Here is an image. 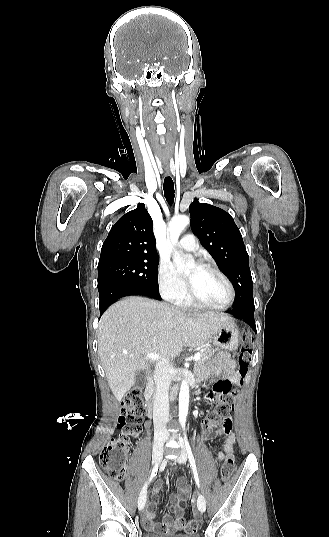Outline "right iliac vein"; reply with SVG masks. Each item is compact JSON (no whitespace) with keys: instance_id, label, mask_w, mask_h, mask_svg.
<instances>
[{"instance_id":"obj_1","label":"right iliac vein","mask_w":329,"mask_h":537,"mask_svg":"<svg viewBox=\"0 0 329 537\" xmlns=\"http://www.w3.org/2000/svg\"><path fill=\"white\" fill-rule=\"evenodd\" d=\"M164 441H165V437H160L155 442L154 451H153V462H157L160 459ZM146 498H147V486L145 485L143 489L141 490L139 497H138V509L140 511L143 510L145 506Z\"/></svg>"}]
</instances>
